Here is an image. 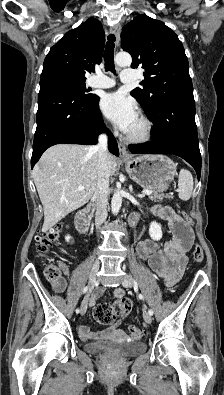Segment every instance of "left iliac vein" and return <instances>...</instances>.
<instances>
[{
  "mask_svg": "<svg viewBox=\"0 0 224 395\" xmlns=\"http://www.w3.org/2000/svg\"><path fill=\"white\" fill-rule=\"evenodd\" d=\"M122 285H123L125 288H131V287H133L134 282H133V280H132L131 277H129L128 275H126V276H124V278H123V280H122ZM143 318H144V321H145L147 324H150L151 321H152L151 315L146 311L145 308L143 309Z\"/></svg>",
  "mask_w": 224,
  "mask_h": 395,
  "instance_id": "4c4485c4",
  "label": "left iliac vein"
}]
</instances>
